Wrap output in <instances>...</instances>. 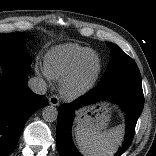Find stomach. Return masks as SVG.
<instances>
[{
	"mask_svg": "<svg viewBox=\"0 0 156 156\" xmlns=\"http://www.w3.org/2000/svg\"><path fill=\"white\" fill-rule=\"evenodd\" d=\"M109 121V115L107 112L101 114H96L94 117L87 114H78L77 123L78 124H93L94 126L104 129Z\"/></svg>",
	"mask_w": 156,
	"mask_h": 156,
	"instance_id": "1",
	"label": "stomach"
}]
</instances>
